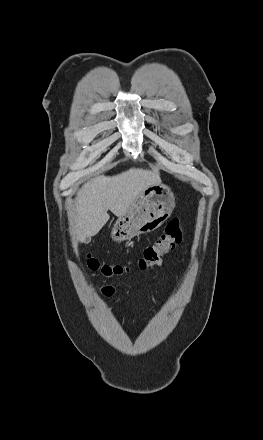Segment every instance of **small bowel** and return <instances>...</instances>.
<instances>
[{
	"label": "small bowel",
	"mask_w": 263,
	"mask_h": 440,
	"mask_svg": "<svg viewBox=\"0 0 263 440\" xmlns=\"http://www.w3.org/2000/svg\"><path fill=\"white\" fill-rule=\"evenodd\" d=\"M103 292H104V294H106L107 296H110V295L112 294L113 290H112V288H110V287H105V288L103 289Z\"/></svg>",
	"instance_id": "small-bowel-1"
}]
</instances>
